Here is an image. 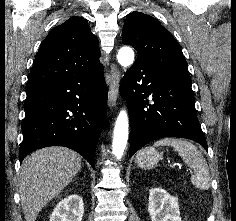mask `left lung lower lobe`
<instances>
[{
  "label": "left lung lower lobe",
  "instance_id": "obj_1",
  "mask_svg": "<svg viewBox=\"0 0 236 221\" xmlns=\"http://www.w3.org/2000/svg\"><path fill=\"white\" fill-rule=\"evenodd\" d=\"M191 78L143 60H137L121 81L131 122V157L158 138L192 139L208 146L197 119ZM152 96L153 104L147 97Z\"/></svg>",
  "mask_w": 236,
  "mask_h": 221
}]
</instances>
